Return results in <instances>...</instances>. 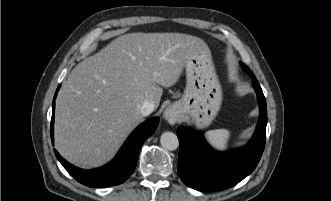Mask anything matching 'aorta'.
<instances>
[{
    "mask_svg": "<svg viewBox=\"0 0 331 201\" xmlns=\"http://www.w3.org/2000/svg\"><path fill=\"white\" fill-rule=\"evenodd\" d=\"M160 143L166 150L173 151L179 146V140L173 132H164L160 137Z\"/></svg>",
    "mask_w": 331,
    "mask_h": 201,
    "instance_id": "obj_1",
    "label": "aorta"
}]
</instances>
